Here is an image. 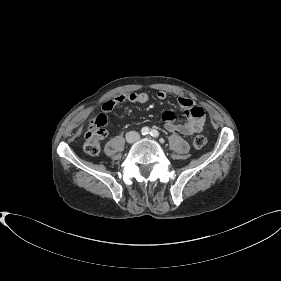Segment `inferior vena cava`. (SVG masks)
Wrapping results in <instances>:
<instances>
[{"mask_svg": "<svg viewBox=\"0 0 281 281\" xmlns=\"http://www.w3.org/2000/svg\"><path fill=\"white\" fill-rule=\"evenodd\" d=\"M140 138V135L138 132L130 131L126 134V140L129 142H134Z\"/></svg>", "mask_w": 281, "mask_h": 281, "instance_id": "inferior-vena-cava-1", "label": "inferior vena cava"}]
</instances>
